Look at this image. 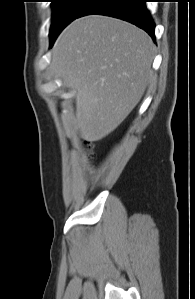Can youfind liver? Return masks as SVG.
Segmentation results:
<instances>
[{
  "label": "liver",
  "mask_w": 195,
  "mask_h": 299,
  "mask_svg": "<svg viewBox=\"0 0 195 299\" xmlns=\"http://www.w3.org/2000/svg\"><path fill=\"white\" fill-rule=\"evenodd\" d=\"M154 44L125 21L91 15L57 38L50 69L75 92V125L82 139L99 141L141 100L153 76Z\"/></svg>",
  "instance_id": "obj_1"
}]
</instances>
